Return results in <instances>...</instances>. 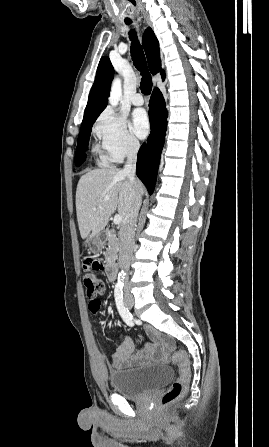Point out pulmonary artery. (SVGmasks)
Instances as JSON below:
<instances>
[{"label": "pulmonary artery", "instance_id": "obj_1", "mask_svg": "<svg viewBox=\"0 0 269 447\" xmlns=\"http://www.w3.org/2000/svg\"><path fill=\"white\" fill-rule=\"evenodd\" d=\"M145 102L144 97L142 94L139 93H135L134 95H132L131 97V103L135 106H140L143 105Z\"/></svg>", "mask_w": 269, "mask_h": 447}]
</instances>
